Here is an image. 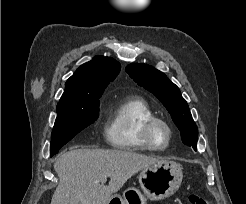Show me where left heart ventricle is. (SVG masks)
<instances>
[{"mask_svg": "<svg viewBox=\"0 0 246 204\" xmlns=\"http://www.w3.org/2000/svg\"><path fill=\"white\" fill-rule=\"evenodd\" d=\"M153 139L156 144L164 145L168 139L167 130L163 126L157 125L154 129Z\"/></svg>", "mask_w": 246, "mask_h": 204, "instance_id": "1", "label": "left heart ventricle"}]
</instances>
